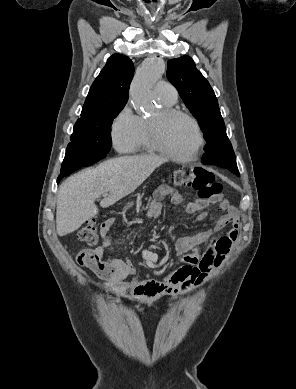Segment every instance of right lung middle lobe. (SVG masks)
I'll list each match as a JSON object with an SVG mask.
<instances>
[{
    "mask_svg": "<svg viewBox=\"0 0 296 389\" xmlns=\"http://www.w3.org/2000/svg\"><path fill=\"white\" fill-rule=\"evenodd\" d=\"M122 108L123 106L97 112L77 120L61 173L74 172L106 157L111 147L110 127Z\"/></svg>",
    "mask_w": 296,
    "mask_h": 389,
    "instance_id": "right-lung-middle-lobe-1",
    "label": "right lung middle lobe"
}]
</instances>
